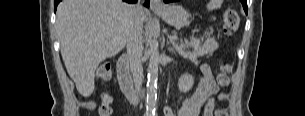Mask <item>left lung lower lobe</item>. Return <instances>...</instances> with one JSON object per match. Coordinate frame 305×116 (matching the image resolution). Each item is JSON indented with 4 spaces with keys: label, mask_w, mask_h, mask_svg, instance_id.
Instances as JSON below:
<instances>
[{
    "label": "left lung lower lobe",
    "mask_w": 305,
    "mask_h": 116,
    "mask_svg": "<svg viewBox=\"0 0 305 116\" xmlns=\"http://www.w3.org/2000/svg\"><path fill=\"white\" fill-rule=\"evenodd\" d=\"M165 3H169V2H175V0H163ZM242 4H243V8L245 10V12L247 13V0H241Z\"/></svg>",
    "instance_id": "left-lung-lower-lobe-1"
}]
</instances>
